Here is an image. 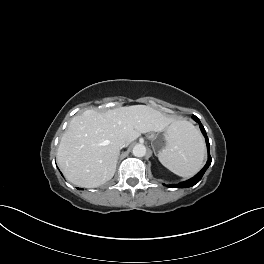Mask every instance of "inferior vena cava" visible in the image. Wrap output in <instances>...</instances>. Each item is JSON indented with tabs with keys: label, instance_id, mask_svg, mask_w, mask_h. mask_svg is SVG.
Returning <instances> with one entry per match:
<instances>
[{
	"label": "inferior vena cava",
	"instance_id": "602c4592",
	"mask_svg": "<svg viewBox=\"0 0 264 264\" xmlns=\"http://www.w3.org/2000/svg\"><path fill=\"white\" fill-rule=\"evenodd\" d=\"M119 146H120V148H123V147L126 146V144H125V142L122 141V142L119 143Z\"/></svg>",
	"mask_w": 264,
	"mask_h": 264
}]
</instances>
